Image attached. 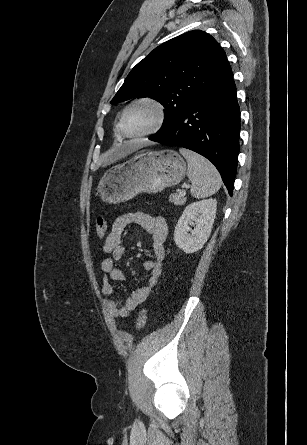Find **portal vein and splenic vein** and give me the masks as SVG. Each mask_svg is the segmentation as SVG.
Listing matches in <instances>:
<instances>
[{"label":"portal vein and splenic vein","mask_w":307,"mask_h":445,"mask_svg":"<svg viewBox=\"0 0 307 445\" xmlns=\"http://www.w3.org/2000/svg\"><path fill=\"white\" fill-rule=\"evenodd\" d=\"M189 186H190V184H183V186H182V192H184V194H185V192H186L185 188H189Z\"/></svg>","instance_id":"obj_1"}]
</instances>
